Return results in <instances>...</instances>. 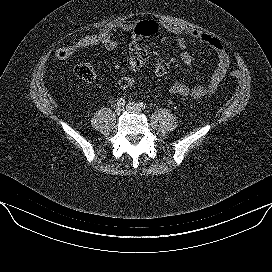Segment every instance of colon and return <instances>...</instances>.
I'll return each mask as SVG.
<instances>
[{
	"instance_id": "colon-1",
	"label": "colon",
	"mask_w": 272,
	"mask_h": 272,
	"mask_svg": "<svg viewBox=\"0 0 272 272\" xmlns=\"http://www.w3.org/2000/svg\"><path fill=\"white\" fill-rule=\"evenodd\" d=\"M158 25L153 21H144L136 26L135 33L138 36H150L157 32ZM104 47L111 50L115 47L113 38L102 33L101 31L95 33H86L77 37L73 42L68 45L61 46L55 51V57L59 60H66L72 56L89 50L94 47ZM74 73L77 78L83 81H91L95 77V69L89 63L78 64ZM167 73V68L162 62H158L154 68L147 72V79H161ZM230 76L234 79L239 78V72L232 70ZM138 79L133 76L121 77L118 79L116 85L119 89H128L136 85Z\"/></svg>"
}]
</instances>
